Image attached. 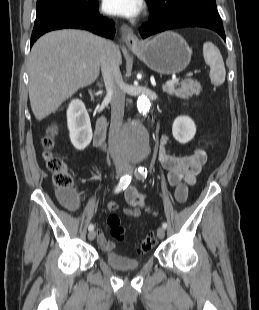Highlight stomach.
<instances>
[{
  "label": "stomach",
  "mask_w": 259,
  "mask_h": 310,
  "mask_svg": "<svg viewBox=\"0 0 259 310\" xmlns=\"http://www.w3.org/2000/svg\"><path fill=\"white\" fill-rule=\"evenodd\" d=\"M131 50L152 70L176 74L186 69L192 51L186 41L174 32H164Z\"/></svg>",
  "instance_id": "0dacf381"
}]
</instances>
